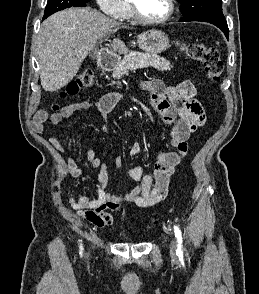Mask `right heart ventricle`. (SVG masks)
<instances>
[{"label":"right heart ventricle","instance_id":"e07e8e85","mask_svg":"<svg viewBox=\"0 0 259 294\" xmlns=\"http://www.w3.org/2000/svg\"><path fill=\"white\" fill-rule=\"evenodd\" d=\"M133 18V14H132V10L130 8V5L127 4V11L123 17V19H127V20H130Z\"/></svg>","mask_w":259,"mask_h":294}]
</instances>
